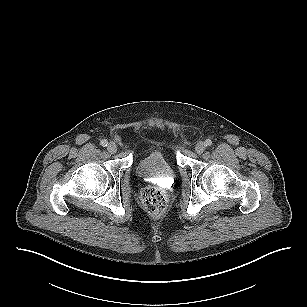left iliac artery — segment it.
<instances>
[{
  "mask_svg": "<svg viewBox=\"0 0 307 307\" xmlns=\"http://www.w3.org/2000/svg\"><path fill=\"white\" fill-rule=\"evenodd\" d=\"M212 145V141L210 140V139H207L206 141H205V146L206 147H209V146H211Z\"/></svg>",
  "mask_w": 307,
  "mask_h": 307,
  "instance_id": "1",
  "label": "left iliac artery"
}]
</instances>
